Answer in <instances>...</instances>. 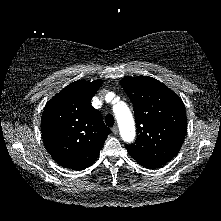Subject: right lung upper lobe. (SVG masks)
Masks as SVG:
<instances>
[{
	"instance_id": "right-lung-upper-lobe-1",
	"label": "right lung upper lobe",
	"mask_w": 221,
	"mask_h": 221,
	"mask_svg": "<svg viewBox=\"0 0 221 221\" xmlns=\"http://www.w3.org/2000/svg\"><path fill=\"white\" fill-rule=\"evenodd\" d=\"M102 81L79 80L56 94L46 104L41 121L48 153L61 166L72 170L89 167L99 156L111 130L91 99Z\"/></svg>"
}]
</instances>
